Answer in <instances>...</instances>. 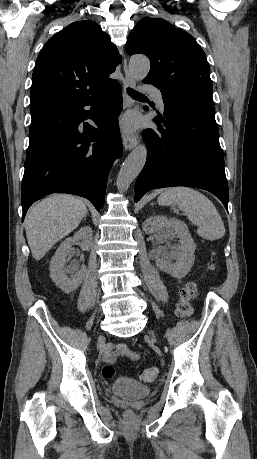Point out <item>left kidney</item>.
Here are the masks:
<instances>
[{"label":"left kidney","instance_id":"left-kidney-1","mask_svg":"<svg viewBox=\"0 0 257 459\" xmlns=\"http://www.w3.org/2000/svg\"><path fill=\"white\" fill-rule=\"evenodd\" d=\"M143 231L147 234H156V239L163 243L170 236L180 239L179 246L158 247L157 266L171 276L181 279L186 276L195 261V243L189 233L187 225L176 218H167L164 215H156L148 218L143 223ZM176 260L175 263H172Z\"/></svg>","mask_w":257,"mask_h":459}]
</instances>
